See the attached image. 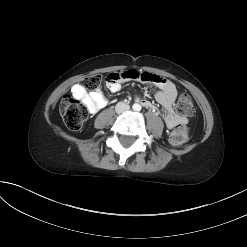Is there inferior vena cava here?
Here are the masks:
<instances>
[{
	"instance_id": "obj_1",
	"label": "inferior vena cava",
	"mask_w": 247,
	"mask_h": 247,
	"mask_svg": "<svg viewBox=\"0 0 247 247\" xmlns=\"http://www.w3.org/2000/svg\"><path fill=\"white\" fill-rule=\"evenodd\" d=\"M129 108H130V106L124 102H119L115 106V110L117 113L125 112V111L129 110Z\"/></svg>"
}]
</instances>
